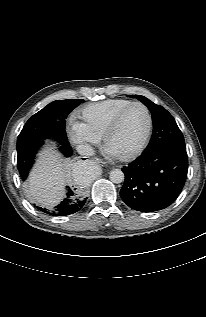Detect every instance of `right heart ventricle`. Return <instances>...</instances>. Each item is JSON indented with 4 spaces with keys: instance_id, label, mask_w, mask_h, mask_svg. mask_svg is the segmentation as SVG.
<instances>
[{
    "instance_id": "e07e8e85",
    "label": "right heart ventricle",
    "mask_w": 206,
    "mask_h": 317,
    "mask_svg": "<svg viewBox=\"0 0 206 317\" xmlns=\"http://www.w3.org/2000/svg\"><path fill=\"white\" fill-rule=\"evenodd\" d=\"M132 103L128 99H108L92 103L80 111V118L87 130L101 138L113 117L124 107Z\"/></svg>"
}]
</instances>
